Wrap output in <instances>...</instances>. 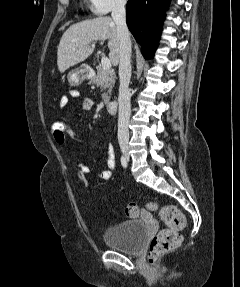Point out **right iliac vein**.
I'll list each match as a JSON object with an SVG mask.
<instances>
[{"instance_id": "right-iliac-vein-1", "label": "right iliac vein", "mask_w": 240, "mask_h": 287, "mask_svg": "<svg viewBox=\"0 0 240 287\" xmlns=\"http://www.w3.org/2000/svg\"><path fill=\"white\" fill-rule=\"evenodd\" d=\"M123 154L128 157V150L127 149H123Z\"/></svg>"}]
</instances>
